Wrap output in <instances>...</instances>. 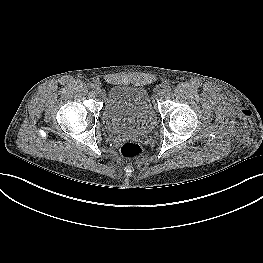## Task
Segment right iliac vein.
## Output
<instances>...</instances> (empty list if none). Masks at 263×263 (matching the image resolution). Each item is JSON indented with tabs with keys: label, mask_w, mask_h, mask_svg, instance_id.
<instances>
[{
	"label": "right iliac vein",
	"mask_w": 263,
	"mask_h": 263,
	"mask_svg": "<svg viewBox=\"0 0 263 263\" xmlns=\"http://www.w3.org/2000/svg\"><path fill=\"white\" fill-rule=\"evenodd\" d=\"M96 91L98 92V93H101L102 92V90H101V88L98 86V88L96 89Z\"/></svg>",
	"instance_id": "obj_1"
}]
</instances>
